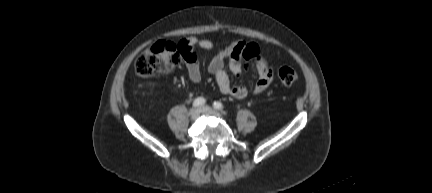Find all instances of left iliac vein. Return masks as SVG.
Listing matches in <instances>:
<instances>
[{"mask_svg": "<svg viewBox=\"0 0 432 193\" xmlns=\"http://www.w3.org/2000/svg\"><path fill=\"white\" fill-rule=\"evenodd\" d=\"M201 112L203 114L211 115V116H222V114L220 112H218L217 110H215L209 106H203L201 108Z\"/></svg>", "mask_w": 432, "mask_h": 193, "instance_id": "left-iliac-vein-1", "label": "left iliac vein"}]
</instances>
